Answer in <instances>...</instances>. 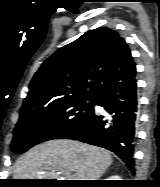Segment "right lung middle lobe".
Wrapping results in <instances>:
<instances>
[{
  "instance_id": "right-lung-middle-lobe-1",
  "label": "right lung middle lobe",
  "mask_w": 160,
  "mask_h": 187,
  "mask_svg": "<svg viewBox=\"0 0 160 187\" xmlns=\"http://www.w3.org/2000/svg\"><path fill=\"white\" fill-rule=\"evenodd\" d=\"M94 98H77L34 111L20 112L12 151L23 153L36 144L64 139L94 112Z\"/></svg>"
}]
</instances>
